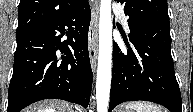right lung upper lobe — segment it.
Wrapping results in <instances>:
<instances>
[{
  "label": "right lung upper lobe",
  "instance_id": "obj_1",
  "mask_svg": "<svg viewBox=\"0 0 193 112\" xmlns=\"http://www.w3.org/2000/svg\"><path fill=\"white\" fill-rule=\"evenodd\" d=\"M85 0H20L16 32H29L77 8Z\"/></svg>",
  "mask_w": 193,
  "mask_h": 112
}]
</instances>
